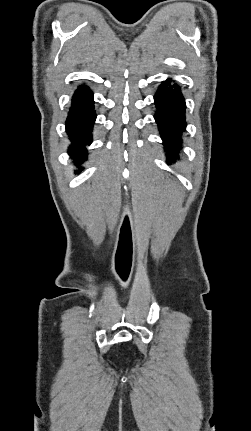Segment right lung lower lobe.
<instances>
[{
    "mask_svg": "<svg viewBox=\"0 0 251 431\" xmlns=\"http://www.w3.org/2000/svg\"><path fill=\"white\" fill-rule=\"evenodd\" d=\"M93 93L86 86H80L73 94L66 119V132L71 140L69 154L80 165L86 159V145L92 142V128L96 119Z\"/></svg>",
    "mask_w": 251,
    "mask_h": 431,
    "instance_id": "obj_1",
    "label": "right lung lower lobe"
}]
</instances>
